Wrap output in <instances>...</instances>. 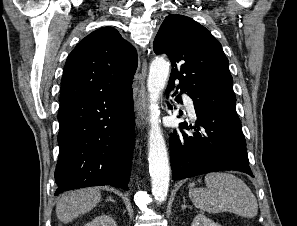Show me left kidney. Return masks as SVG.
I'll list each match as a JSON object with an SVG mask.
<instances>
[{"label":"left kidney","instance_id":"1","mask_svg":"<svg viewBox=\"0 0 297 226\" xmlns=\"http://www.w3.org/2000/svg\"><path fill=\"white\" fill-rule=\"evenodd\" d=\"M191 226H221L218 223H215L211 219L207 218L203 214H198L195 216Z\"/></svg>","mask_w":297,"mask_h":226}]
</instances>
